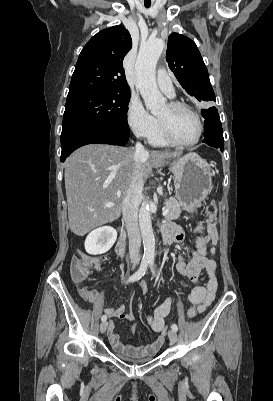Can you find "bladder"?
I'll return each mask as SVG.
<instances>
[{"instance_id":"obj_1","label":"bladder","mask_w":273,"mask_h":401,"mask_svg":"<svg viewBox=\"0 0 273 401\" xmlns=\"http://www.w3.org/2000/svg\"><path fill=\"white\" fill-rule=\"evenodd\" d=\"M115 356H116L119 360H121L122 362H126V363H135V364H138V363H146V362H149V361H151V360H153V359L155 358L154 355H150V356H147V357L142 358V359L133 360V359H131V358H128V357H125V356H122V355L116 354V353H115Z\"/></svg>"}]
</instances>
